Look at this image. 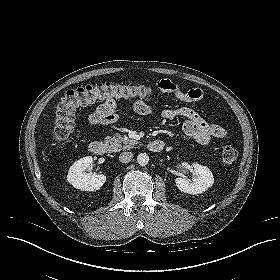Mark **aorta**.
<instances>
[{
	"label": "aorta",
	"mask_w": 280,
	"mask_h": 280,
	"mask_svg": "<svg viewBox=\"0 0 280 280\" xmlns=\"http://www.w3.org/2000/svg\"><path fill=\"white\" fill-rule=\"evenodd\" d=\"M137 162H138L139 165L145 166L149 162V156L146 153H140L137 156Z\"/></svg>",
	"instance_id": "1"
}]
</instances>
